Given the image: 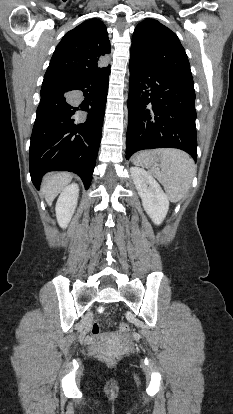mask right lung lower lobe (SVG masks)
Here are the masks:
<instances>
[{"instance_id":"obj_1","label":"right lung lower lobe","mask_w":233,"mask_h":414,"mask_svg":"<svg viewBox=\"0 0 233 414\" xmlns=\"http://www.w3.org/2000/svg\"><path fill=\"white\" fill-rule=\"evenodd\" d=\"M110 68L76 79L44 77L29 149L30 174L40 187L51 170L78 174L90 186L101 140Z\"/></svg>"}]
</instances>
